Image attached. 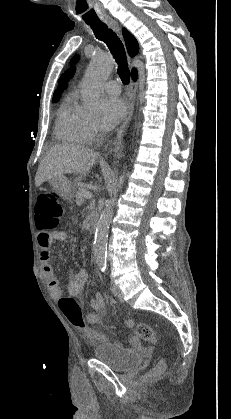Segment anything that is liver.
Masks as SVG:
<instances>
[{"label": "liver", "mask_w": 231, "mask_h": 419, "mask_svg": "<svg viewBox=\"0 0 231 419\" xmlns=\"http://www.w3.org/2000/svg\"><path fill=\"white\" fill-rule=\"evenodd\" d=\"M98 153L77 144H57L50 148L41 161L35 186L64 174H85L95 164Z\"/></svg>", "instance_id": "liver-1"}]
</instances>
